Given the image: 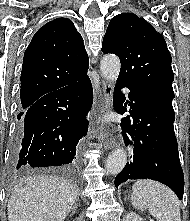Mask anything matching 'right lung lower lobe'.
<instances>
[{"instance_id":"1","label":"right lung lower lobe","mask_w":190,"mask_h":221,"mask_svg":"<svg viewBox=\"0 0 190 221\" xmlns=\"http://www.w3.org/2000/svg\"><path fill=\"white\" fill-rule=\"evenodd\" d=\"M93 91L88 76L50 92L19 113L12 152L14 169L61 166L76 160L86 136Z\"/></svg>"}]
</instances>
